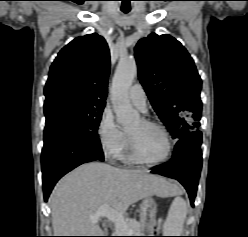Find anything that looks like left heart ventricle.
Here are the masks:
<instances>
[{"instance_id": "b2bd125f", "label": "left heart ventricle", "mask_w": 248, "mask_h": 237, "mask_svg": "<svg viewBox=\"0 0 248 237\" xmlns=\"http://www.w3.org/2000/svg\"><path fill=\"white\" fill-rule=\"evenodd\" d=\"M127 133L143 157L156 160L165 155L167 142L158 129L146 126L141 120H138L128 129Z\"/></svg>"}]
</instances>
